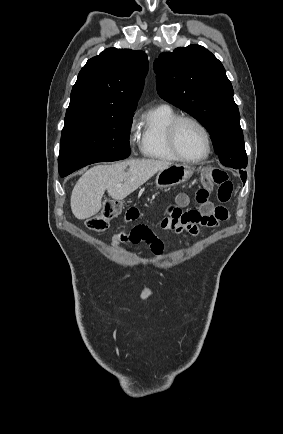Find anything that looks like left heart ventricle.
<instances>
[{
	"label": "left heart ventricle",
	"mask_w": 283,
	"mask_h": 434,
	"mask_svg": "<svg viewBox=\"0 0 283 434\" xmlns=\"http://www.w3.org/2000/svg\"><path fill=\"white\" fill-rule=\"evenodd\" d=\"M177 145L180 152L188 158L204 154L206 145L201 130L191 122H183L177 130Z\"/></svg>",
	"instance_id": "1"
}]
</instances>
